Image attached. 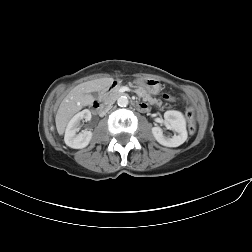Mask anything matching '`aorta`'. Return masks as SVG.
I'll list each match as a JSON object with an SVG mask.
<instances>
[{
    "mask_svg": "<svg viewBox=\"0 0 252 252\" xmlns=\"http://www.w3.org/2000/svg\"><path fill=\"white\" fill-rule=\"evenodd\" d=\"M117 104L120 107H126L129 104V100L126 96H121L118 98Z\"/></svg>",
    "mask_w": 252,
    "mask_h": 252,
    "instance_id": "aorta-1",
    "label": "aorta"
}]
</instances>
